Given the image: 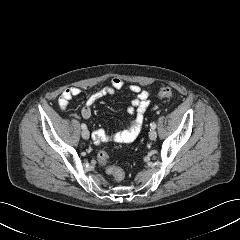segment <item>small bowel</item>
<instances>
[{"label":"small bowel","mask_w":240,"mask_h":240,"mask_svg":"<svg viewBox=\"0 0 240 240\" xmlns=\"http://www.w3.org/2000/svg\"><path fill=\"white\" fill-rule=\"evenodd\" d=\"M124 82L119 78H113L109 85L104 86L95 92H93L88 99L84 107L81 110V116L84 119H89L92 115V105L96 100L104 96H112L123 89ZM129 90L136 96L131 101V104L127 108V112L134 116L133 120L128 126L118 132L110 133L104 129H98L94 132V138L98 142L106 143H130L135 140L144 124V114L148 108L149 95L146 90H143L139 85L132 84L129 86ZM81 94V89L78 87H69L63 90L58 98V105L61 110H65L69 101Z\"/></svg>","instance_id":"obj_1"}]
</instances>
